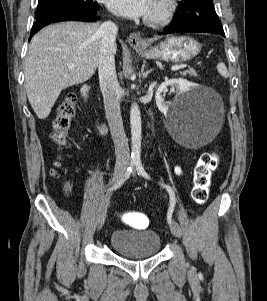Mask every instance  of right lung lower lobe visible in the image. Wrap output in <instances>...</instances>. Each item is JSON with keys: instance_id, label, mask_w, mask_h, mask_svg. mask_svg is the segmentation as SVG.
<instances>
[{"instance_id": "98d812e1", "label": "right lung lower lobe", "mask_w": 267, "mask_h": 301, "mask_svg": "<svg viewBox=\"0 0 267 301\" xmlns=\"http://www.w3.org/2000/svg\"><path fill=\"white\" fill-rule=\"evenodd\" d=\"M99 9V5L96 4L94 7L83 10V11H58L54 13L45 14L36 18V21L33 25L31 36L34 35L38 30L42 27L55 22L61 21H85V22H93L99 19L96 16L97 11Z\"/></svg>"}]
</instances>
